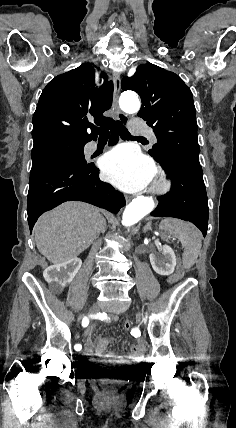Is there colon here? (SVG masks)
<instances>
[{
  "label": "colon",
  "mask_w": 236,
  "mask_h": 428,
  "mask_svg": "<svg viewBox=\"0 0 236 428\" xmlns=\"http://www.w3.org/2000/svg\"><path fill=\"white\" fill-rule=\"evenodd\" d=\"M183 275V269L181 267H178L177 270L175 271V273L170 277V282H175L177 281L179 278H181ZM124 327L126 329L130 328V323L129 322H125Z\"/></svg>",
  "instance_id": "1"
}]
</instances>
